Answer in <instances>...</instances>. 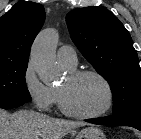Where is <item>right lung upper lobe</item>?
Listing matches in <instances>:
<instances>
[{
  "mask_svg": "<svg viewBox=\"0 0 141 139\" xmlns=\"http://www.w3.org/2000/svg\"><path fill=\"white\" fill-rule=\"evenodd\" d=\"M44 21V7L30 1H20L4 14L0 18V62H28Z\"/></svg>",
  "mask_w": 141,
  "mask_h": 139,
  "instance_id": "right-lung-upper-lobe-1",
  "label": "right lung upper lobe"
}]
</instances>
